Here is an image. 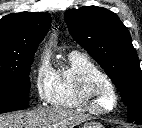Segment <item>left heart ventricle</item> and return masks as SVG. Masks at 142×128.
<instances>
[{"instance_id":"b2bd125f","label":"left heart ventricle","mask_w":142,"mask_h":128,"mask_svg":"<svg viewBox=\"0 0 142 128\" xmlns=\"http://www.w3.org/2000/svg\"><path fill=\"white\" fill-rule=\"evenodd\" d=\"M99 104L103 107H109L112 103V98L109 92L102 91L98 95Z\"/></svg>"}]
</instances>
